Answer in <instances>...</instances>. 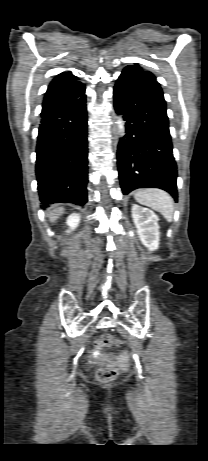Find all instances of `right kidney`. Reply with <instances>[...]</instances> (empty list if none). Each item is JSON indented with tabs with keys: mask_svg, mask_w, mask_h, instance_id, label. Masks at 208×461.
Masks as SVG:
<instances>
[{
	"mask_svg": "<svg viewBox=\"0 0 208 461\" xmlns=\"http://www.w3.org/2000/svg\"><path fill=\"white\" fill-rule=\"evenodd\" d=\"M80 222V216L79 214L73 213L70 216H68L66 223L70 227V230H74ZM70 232V231H68Z\"/></svg>",
	"mask_w": 208,
	"mask_h": 461,
	"instance_id": "1",
	"label": "right kidney"
}]
</instances>
